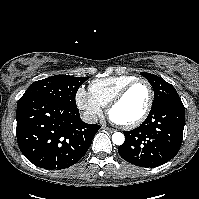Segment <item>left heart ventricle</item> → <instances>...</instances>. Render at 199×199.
<instances>
[{"instance_id":"left-heart-ventricle-1","label":"left heart ventricle","mask_w":199,"mask_h":199,"mask_svg":"<svg viewBox=\"0 0 199 199\" xmlns=\"http://www.w3.org/2000/svg\"><path fill=\"white\" fill-rule=\"evenodd\" d=\"M148 87L138 83L125 95L124 99L111 111L117 122H130L137 119L144 111L148 101Z\"/></svg>"}]
</instances>
